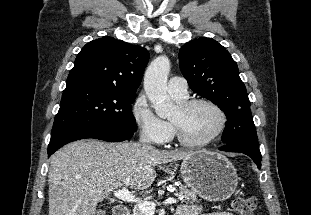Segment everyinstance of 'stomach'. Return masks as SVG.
I'll use <instances>...</instances> for the list:
<instances>
[{"label":"stomach","instance_id":"1","mask_svg":"<svg viewBox=\"0 0 311 215\" xmlns=\"http://www.w3.org/2000/svg\"><path fill=\"white\" fill-rule=\"evenodd\" d=\"M181 176L196 195L211 202L227 200L238 184L233 164L224 155L211 151L195 152L184 158Z\"/></svg>","mask_w":311,"mask_h":215}]
</instances>
